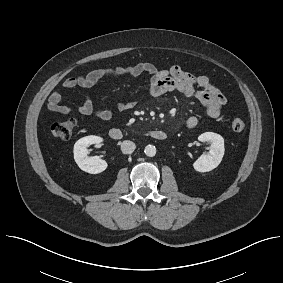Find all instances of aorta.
I'll return each mask as SVG.
<instances>
[{
	"instance_id": "1",
	"label": "aorta",
	"mask_w": 283,
	"mask_h": 283,
	"mask_svg": "<svg viewBox=\"0 0 283 283\" xmlns=\"http://www.w3.org/2000/svg\"><path fill=\"white\" fill-rule=\"evenodd\" d=\"M144 152L148 157H153L156 155V147L154 145H147Z\"/></svg>"
}]
</instances>
